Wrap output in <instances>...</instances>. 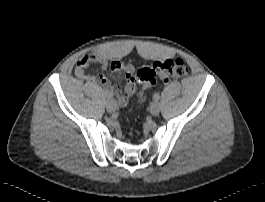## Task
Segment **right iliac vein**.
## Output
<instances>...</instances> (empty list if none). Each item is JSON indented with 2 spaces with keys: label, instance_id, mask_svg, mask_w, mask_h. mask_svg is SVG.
Instances as JSON below:
<instances>
[{
  "label": "right iliac vein",
  "instance_id": "1",
  "mask_svg": "<svg viewBox=\"0 0 265 202\" xmlns=\"http://www.w3.org/2000/svg\"><path fill=\"white\" fill-rule=\"evenodd\" d=\"M107 111L113 113L117 109V102L114 99H110L106 104Z\"/></svg>",
  "mask_w": 265,
  "mask_h": 202
}]
</instances>
